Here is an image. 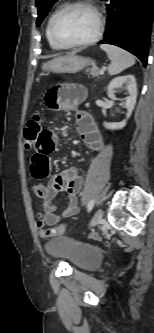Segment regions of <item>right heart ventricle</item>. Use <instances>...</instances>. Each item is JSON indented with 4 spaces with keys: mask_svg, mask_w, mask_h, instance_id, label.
<instances>
[{
    "mask_svg": "<svg viewBox=\"0 0 154 333\" xmlns=\"http://www.w3.org/2000/svg\"><path fill=\"white\" fill-rule=\"evenodd\" d=\"M59 9H55L50 16L48 17L47 23H46V27H45V34H46V38L48 40L49 45L56 50H60L63 49L60 46H58L55 41L53 40L51 33H50V24H51V20L54 16V14L58 11Z\"/></svg>",
    "mask_w": 154,
    "mask_h": 333,
    "instance_id": "e07e8e85",
    "label": "right heart ventricle"
}]
</instances>
